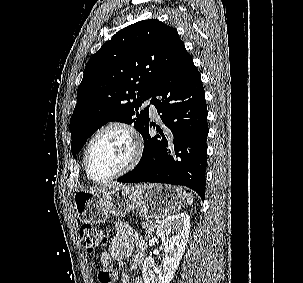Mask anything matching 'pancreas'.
<instances>
[{
  "instance_id": "pancreas-1",
  "label": "pancreas",
  "mask_w": 303,
  "mask_h": 283,
  "mask_svg": "<svg viewBox=\"0 0 303 283\" xmlns=\"http://www.w3.org/2000/svg\"><path fill=\"white\" fill-rule=\"evenodd\" d=\"M142 228L148 235H152L154 229L156 228V223L153 220H146L142 223Z\"/></svg>"
}]
</instances>
